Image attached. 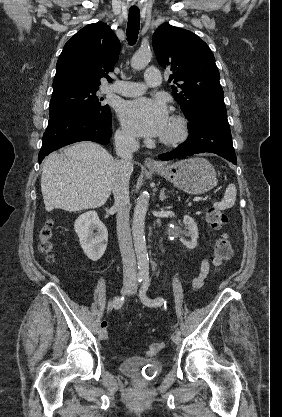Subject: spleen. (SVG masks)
Returning <instances> with one entry per match:
<instances>
[{
	"mask_svg": "<svg viewBox=\"0 0 282 417\" xmlns=\"http://www.w3.org/2000/svg\"><path fill=\"white\" fill-rule=\"evenodd\" d=\"M236 192L237 190L235 184H228L225 190L224 198H222L220 202H214L215 209H217V211H225V209H231V206L235 204Z\"/></svg>",
	"mask_w": 282,
	"mask_h": 417,
	"instance_id": "1",
	"label": "spleen"
}]
</instances>
